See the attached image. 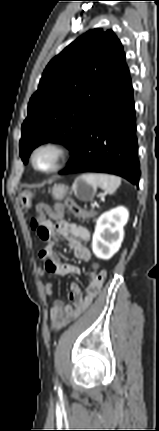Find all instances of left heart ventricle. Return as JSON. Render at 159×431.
Segmentation results:
<instances>
[{
	"instance_id": "1",
	"label": "left heart ventricle",
	"mask_w": 159,
	"mask_h": 431,
	"mask_svg": "<svg viewBox=\"0 0 159 431\" xmlns=\"http://www.w3.org/2000/svg\"><path fill=\"white\" fill-rule=\"evenodd\" d=\"M56 161V154L53 150H41L36 155V164L40 169L46 170L51 168Z\"/></svg>"
}]
</instances>
